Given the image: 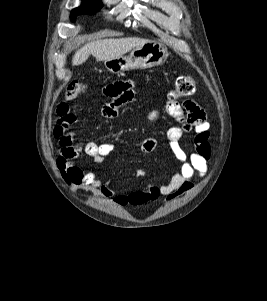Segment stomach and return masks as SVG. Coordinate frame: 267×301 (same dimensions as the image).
Segmentation results:
<instances>
[{"instance_id":"obj_1","label":"stomach","mask_w":267,"mask_h":301,"mask_svg":"<svg viewBox=\"0 0 267 301\" xmlns=\"http://www.w3.org/2000/svg\"><path fill=\"white\" fill-rule=\"evenodd\" d=\"M168 56L169 53L164 44L149 41L135 47L128 56L105 61V67L109 72L115 74L133 69H147L162 65Z\"/></svg>"}]
</instances>
